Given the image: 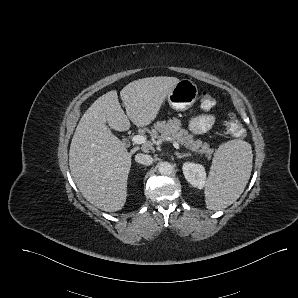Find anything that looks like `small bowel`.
<instances>
[{"instance_id":"obj_1","label":"small bowel","mask_w":298,"mask_h":298,"mask_svg":"<svg viewBox=\"0 0 298 298\" xmlns=\"http://www.w3.org/2000/svg\"><path fill=\"white\" fill-rule=\"evenodd\" d=\"M216 121L213 114L199 115L191 119L189 129L195 134H203L210 130Z\"/></svg>"}]
</instances>
